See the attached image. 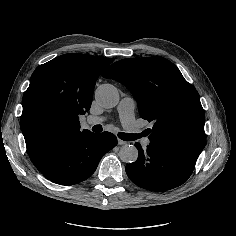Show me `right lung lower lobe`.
<instances>
[{
	"label": "right lung lower lobe",
	"mask_w": 236,
	"mask_h": 236,
	"mask_svg": "<svg viewBox=\"0 0 236 236\" xmlns=\"http://www.w3.org/2000/svg\"><path fill=\"white\" fill-rule=\"evenodd\" d=\"M116 144L112 133H84L67 143L41 172L54 183L77 184L95 172L102 156Z\"/></svg>",
	"instance_id": "right-lung-lower-lobe-1"
}]
</instances>
